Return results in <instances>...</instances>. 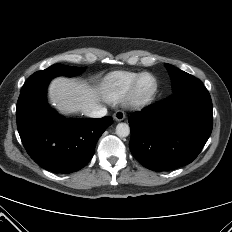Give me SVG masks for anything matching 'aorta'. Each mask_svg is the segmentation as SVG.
Masks as SVG:
<instances>
[{
    "instance_id": "1",
    "label": "aorta",
    "mask_w": 232,
    "mask_h": 232,
    "mask_svg": "<svg viewBox=\"0 0 232 232\" xmlns=\"http://www.w3.org/2000/svg\"><path fill=\"white\" fill-rule=\"evenodd\" d=\"M116 134L119 137H127L130 134V127L126 123H119L116 126Z\"/></svg>"
}]
</instances>
